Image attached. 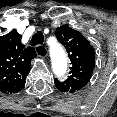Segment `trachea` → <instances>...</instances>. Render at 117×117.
Wrapping results in <instances>:
<instances>
[{"label": "trachea", "instance_id": "1", "mask_svg": "<svg viewBox=\"0 0 117 117\" xmlns=\"http://www.w3.org/2000/svg\"><path fill=\"white\" fill-rule=\"evenodd\" d=\"M43 41H44V35L41 31H37L33 36H32V39H31V45L32 46H36V45H42L43 44ZM41 48L40 47H37V51H39Z\"/></svg>", "mask_w": 117, "mask_h": 117}]
</instances>
